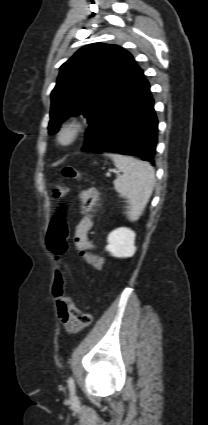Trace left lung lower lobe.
Here are the masks:
<instances>
[{
	"label": "left lung lower lobe",
	"mask_w": 208,
	"mask_h": 425,
	"mask_svg": "<svg viewBox=\"0 0 208 425\" xmlns=\"http://www.w3.org/2000/svg\"><path fill=\"white\" fill-rule=\"evenodd\" d=\"M157 129L150 85L140 70L89 125L82 149L139 156L154 165Z\"/></svg>",
	"instance_id": "0a47b994"
}]
</instances>
